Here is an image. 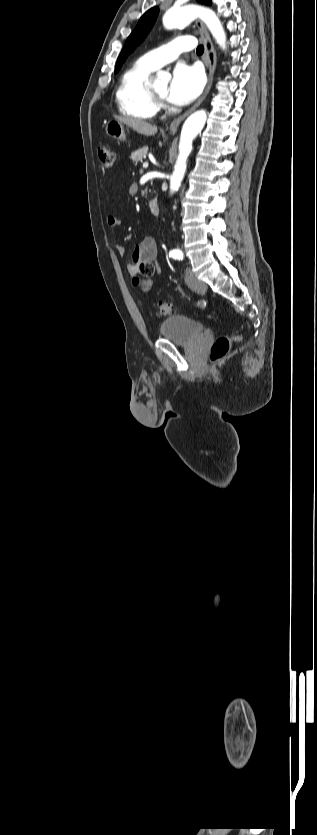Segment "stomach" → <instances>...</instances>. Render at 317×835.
Here are the masks:
<instances>
[{
    "label": "stomach",
    "instance_id": "1",
    "mask_svg": "<svg viewBox=\"0 0 317 835\" xmlns=\"http://www.w3.org/2000/svg\"><path fill=\"white\" fill-rule=\"evenodd\" d=\"M125 130L126 128L123 122H120L118 120H110L105 127L106 135L117 141L125 140Z\"/></svg>",
    "mask_w": 317,
    "mask_h": 835
}]
</instances>
